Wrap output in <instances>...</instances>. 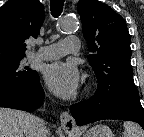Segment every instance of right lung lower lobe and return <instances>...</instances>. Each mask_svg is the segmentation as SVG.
I'll use <instances>...</instances> for the list:
<instances>
[{
  "instance_id": "1",
  "label": "right lung lower lobe",
  "mask_w": 144,
  "mask_h": 137,
  "mask_svg": "<svg viewBox=\"0 0 144 137\" xmlns=\"http://www.w3.org/2000/svg\"><path fill=\"white\" fill-rule=\"evenodd\" d=\"M44 91L38 82L32 90L16 87H0V107L34 111L43 103Z\"/></svg>"
}]
</instances>
